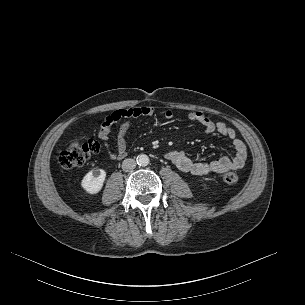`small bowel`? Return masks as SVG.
<instances>
[{
    "label": "small bowel",
    "instance_id": "obj_1",
    "mask_svg": "<svg viewBox=\"0 0 305 305\" xmlns=\"http://www.w3.org/2000/svg\"><path fill=\"white\" fill-rule=\"evenodd\" d=\"M155 111L150 106H139L134 108H122L114 111L103 120L98 136L108 147L111 127L121 121L117 136L115 151L108 150L109 157L112 159H122L127 155L126 135L132 121L136 118H151ZM174 116L171 110L164 113L166 120ZM190 122H196L204 127L207 134L218 133L232 141L234 153L232 157H221L211 162H194L184 151H169L165 153V158L171 161L180 171L194 177L207 176L215 173H223L229 170H236L245 164L247 150L244 142L237 137L236 131L224 122H214L201 111H192L187 114Z\"/></svg>",
    "mask_w": 305,
    "mask_h": 305
}]
</instances>
